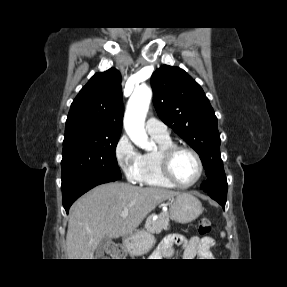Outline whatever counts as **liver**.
<instances>
[{"label":"liver","instance_id":"1","mask_svg":"<svg viewBox=\"0 0 287 287\" xmlns=\"http://www.w3.org/2000/svg\"><path fill=\"white\" fill-rule=\"evenodd\" d=\"M163 188H140L126 183L102 184L79 198L70 208L66 235L67 259H96L104 236L132 234L156 206L179 195ZM129 210L126 217L121 212Z\"/></svg>","mask_w":287,"mask_h":287}]
</instances>
